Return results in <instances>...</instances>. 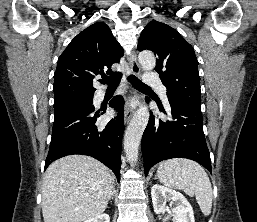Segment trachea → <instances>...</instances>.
I'll return each instance as SVG.
<instances>
[{
	"mask_svg": "<svg viewBox=\"0 0 257 222\" xmlns=\"http://www.w3.org/2000/svg\"><path fill=\"white\" fill-rule=\"evenodd\" d=\"M122 73L116 72L113 75L105 76L100 80V83L107 84L108 88L117 87L119 85V82L121 80ZM128 81L138 89H150L149 86L144 84L141 80H139L136 76L130 75L128 76Z\"/></svg>",
	"mask_w": 257,
	"mask_h": 222,
	"instance_id": "1",
	"label": "trachea"
}]
</instances>
